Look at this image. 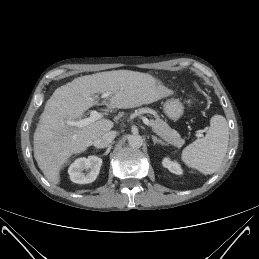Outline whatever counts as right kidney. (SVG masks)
Here are the masks:
<instances>
[{"mask_svg": "<svg viewBox=\"0 0 259 259\" xmlns=\"http://www.w3.org/2000/svg\"><path fill=\"white\" fill-rule=\"evenodd\" d=\"M101 165L102 159L94 155L88 158H78L69 167L68 173L70 179L72 182L78 184L92 183L96 180ZM84 170L88 172L84 173Z\"/></svg>", "mask_w": 259, "mask_h": 259, "instance_id": "obj_1", "label": "right kidney"}]
</instances>
